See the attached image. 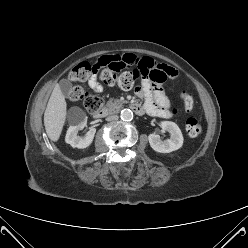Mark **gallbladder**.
<instances>
[{
    "mask_svg": "<svg viewBox=\"0 0 248 248\" xmlns=\"http://www.w3.org/2000/svg\"><path fill=\"white\" fill-rule=\"evenodd\" d=\"M60 86V89L62 91V93L65 95V96H68L71 92V89H72V83L68 80H63L60 82L59 84Z\"/></svg>",
    "mask_w": 248,
    "mask_h": 248,
    "instance_id": "bac80fb5",
    "label": "gallbladder"
}]
</instances>
